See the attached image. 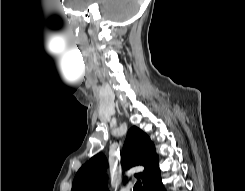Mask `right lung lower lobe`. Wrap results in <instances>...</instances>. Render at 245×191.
Instances as JSON below:
<instances>
[{"label": "right lung lower lobe", "mask_w": 245, "mask_h": 191, "mask_svg": "<svg viewBox=\"0 0 245 191\" xmlns=\"http://www.w3.org/2000/svg\"><path fill=\"white\" fill-rule=\"evenodd\" d=\"M144 191H165L163 186L161 176H159L156 180L150 183L148 186L143 188Z\"/></svg>", "instance_id": "obj_1"}]
</instances>
